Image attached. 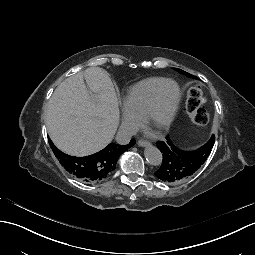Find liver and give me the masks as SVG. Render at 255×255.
<instances>
[{
	"label": "liver",
	"instance_id": "1",
	"mask_svg": "<svg viewBox=\"0 0 255 255\" xmlns=\"http://www.w3.org/2000/svg\"><path fill=\"white\" fill-rule=\"evenodd\" d=\"M84 79L94 94L89 93ZM119 114L116 91L107 72L90 67L68 77L55 89L45 123L49 137L59 150L82 157L111 143Z\"/></svg>",
	"mask_w": 255,
	"mask_h": 255
}]
</instances>
